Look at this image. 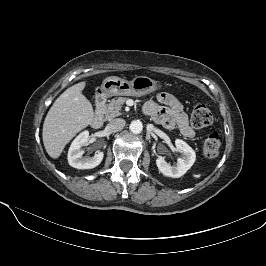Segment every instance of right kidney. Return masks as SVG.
Segmentation results:
<instances>
[{
    "label": "right kidney",
    "instance_id": "ca27d5eb",
    "mask_svg": "<svg viewBox=\"0 0 266 266\" xmlns=\"http://www.w3.org/2000/svg\"><path fill=\"white\" fill-rule=\"evenodd\" d=\"M89 132H81L72 142L68 151V163L77 169H92L98 166L103 160L104 154L99 151L93 157H82L83 146L88 144Z\"/></svg>",
    "mask_w": 266,
    "mask_h": 266
}]
</instances>
